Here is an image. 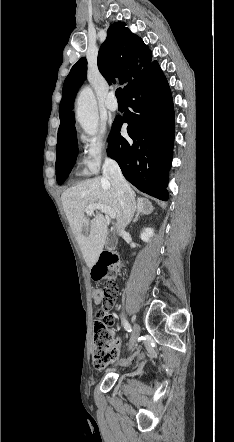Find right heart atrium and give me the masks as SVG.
<instances>
[{
    "label": "right heart atrium",
    "instance_id": "d8ad5b80",
    "mask_svg": "<svg viewBox=\"0 0 234 442\" xmlns=\"http://www.w3.org/2000/svg\"><path fill=\"white\" fill-rule=\"evenodd\" d=\"M85 164L90 172L99 171L102 163L111 156V144L105 132L93 136H83Z\"/></svg>",
    "mask_w": 234,
    "mask_h": 442
}]
</instances>
